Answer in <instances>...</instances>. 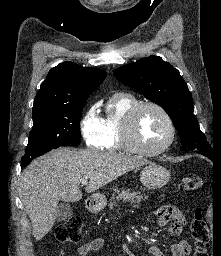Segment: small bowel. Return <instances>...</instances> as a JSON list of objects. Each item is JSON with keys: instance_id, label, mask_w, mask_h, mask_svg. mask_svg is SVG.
<instances>
[{"instance_id": "obj_1", "label": "small bowel", "mask_w": 221, "mask_h": 256, "mask_svg": "<svg viewBox=\"0 0 221 256\" xmlns=\"http://www.w3.org/2000/svg\"><path fill=\"white\" fill-rule=\"evenodd\" d=\"M155 216L157 218V226L162 227L170 224L169 231L174 235L181 233L182 227L186 222L182 212L172 205H164L157 208L155 210ZM104 245L105 241L102 238L91 239L77 248V255L86 256L102 249ZM171 252L173 256H188L191 252V246L186 240L182 239L171 245ZM149 253L151 256H164L161 249L157 246H151ZM60 256H62V254Z\"/></svg>"}]
</instances>
